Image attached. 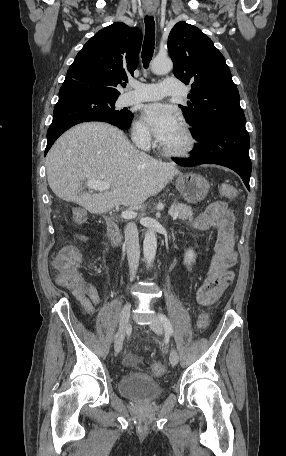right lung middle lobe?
<instances>
[{"label": "right lung middle lobe", "mask_w": 286, "mask_h": 456, "mask_svg": "<svg viewBox=\"0 0 286 456\" xmlns=\"http://www.w3.org/2000/svg\"><path fill=\"white\" fill-rule=\"evenodd\" d=\"M115 102L116 100H105L99 109L100 115L108 121L122 125L130 124L133 114L127 110H115Z\"/></svg>", "instance_id": "1"}]
</instances>
